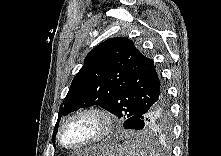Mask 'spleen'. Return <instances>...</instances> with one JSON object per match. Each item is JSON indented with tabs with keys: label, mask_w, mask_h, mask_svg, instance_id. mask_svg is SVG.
Here are the masks:
<instances>
[{
	"label": "spleen",
	"mask_w": 221,
	"mask_h": 156,
	"mask_svg": "<svg viewBox=\"0 0 221 156\" xmlns=\"http://www.w3.org/2000/svg\"><path fill=\"white\" fill-rule=\"evenodd\" d=\"M124 146L128 149L130 156H155L156 152L149 146L147 141L136 138L124 142Z\"/></svg>",
	"instance_id": "spleen-1"
}]
</instances>
